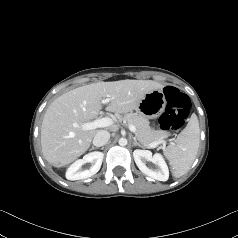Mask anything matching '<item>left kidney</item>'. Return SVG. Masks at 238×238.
<instances>
[{
    "mask_svg": "<svg viewBox=\"0 0 238 238\" xmlns=\"http://www.w3.org/2000/svg\"><path fill=\"white\" fill-rule=\"evenodd\" d=\"M134 160L140 171L147 176L158 181H167L169 178L168 166L159 153L152 155L149 150L136 149L133 152ZM147 162H152L154 166H147Z\"/></svg>",
    "mask_w": 238,
    "mask_h": 238,
    "instance_id": "5707ae66",
    "label": "left kidney"
}]
</instances>
